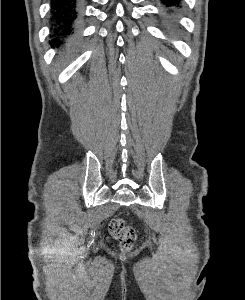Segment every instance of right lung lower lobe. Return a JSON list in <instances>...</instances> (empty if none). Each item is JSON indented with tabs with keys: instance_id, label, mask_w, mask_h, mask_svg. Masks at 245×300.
Instances as JSON below:
<instances>
[{
	"instance_id": "98d812e1",
	"label": "right lung lower lobe",
	"mask_w": 245,
	"mask_h": 300,
	"mask_svg": "<svg viewBox=\"0 0 245 300\" xmlns=\"http://www.w3.org/2000/svg\"><path fill=\"white\" fill-rule=\"evenodd\" d=\"M82 0H52V47H69L76 38L81 20Z\"/></svg>"
}]
</instances>
